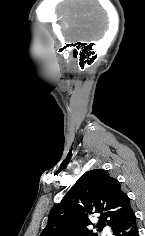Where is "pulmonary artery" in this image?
<instances>
[{"label":"pulmonary artery","instance_id":"pulmonary-artery-1","mask_svg":"<svg viewBox=\"0 0 145 236\" xmlns=\"http://www.w3.org/2000/svg\"><path fill=\"white\" fill-rule=\"evenodd\" d=\"M103 232H104V234H106V235H108V236H111V230H110V228L105 227V228L103 229Z\"/></svg>","mask_w":145,"mask_h":236}]
</instances>
